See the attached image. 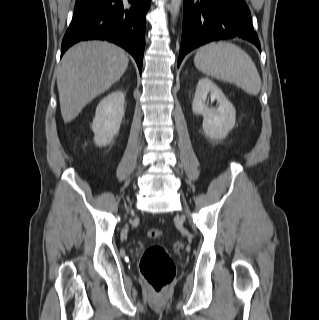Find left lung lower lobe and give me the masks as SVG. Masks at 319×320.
I'll return each mask as SVG.
<instances>
[{
  "label": "left lung lower lobe",
  "mask_w": 319,
  "mask_h": 320,
  "mask_svg": "<svg viewBox=\"0 0 319 320\" xmlns=\"http://www.w3.org/2000/svg\"><path fill=\"white\" fill-rule=\"evenodd\" d=\"M235 37L252 42L261 50L244 0H184L178 66L188 52L200 45Z\"/></svg>",
  "instance_id": "left-lung-lower-lobe-1"
}]
</instances>
